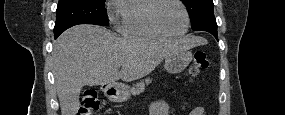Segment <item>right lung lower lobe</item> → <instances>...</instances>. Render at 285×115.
<instances>
[{
    "label": "right lung lower lobe",
    "instance_id": "1",
    "mask_svg": "<svg viewBox=\"0 0 285 115\" xmlns=\"http://www.w3.org/2000/svg\"><path fill=\"white\" fill-rule=\"evenodd\" d=\"M62 32L54 33V38L56 39Z\"/></svg>",
    "mask_w": 285,
    "mask_h": 115
}]
</instances>
